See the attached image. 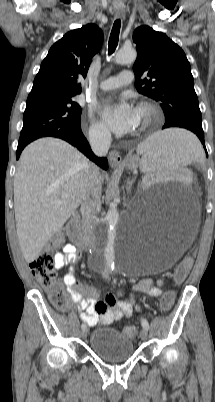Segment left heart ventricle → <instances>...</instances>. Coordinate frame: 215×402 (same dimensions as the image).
<instances>
[{
  "mask_svg": "<svg viewBox=\"0 0 215 402\" xmlns=\"http://www.w3.org/2000/svg\"><path fill=\"white\" fill-rule=\"evenodd\" d=\"M144 120H145L144 114L141 113L140 111L136 110V122H135V126L133 129L134 132L138 131L141 128V126L144 123Z\"/></svg>",
  "mask_w": 215,
  "mask_h": 402,
  "instance_id": "left-heart-ventricle-1",
  "label": "left heart ventricle"
}]
</instances>
